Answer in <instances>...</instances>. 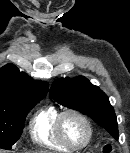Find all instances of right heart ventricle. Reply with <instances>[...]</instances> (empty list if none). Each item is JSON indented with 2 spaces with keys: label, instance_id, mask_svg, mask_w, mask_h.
<instances>
[{
  "label": "right heart ventricle",
  "instance_id": "obj_1",
  "mask_svg": "<svg viewBox=\"0 0 130 153\" xmlns=\"http://www.w3.org/2000/svg\"><path fill=\"white\" fill-rule=\"evenodd\" d=\"M60 110L54 105H44L31 117L28 125L31 140L38 146L51 150L70 151L58 138L55 122Z\"/></svg>",
  "mask_w": 130,
  "mask_h": 153
}]
</instances>
